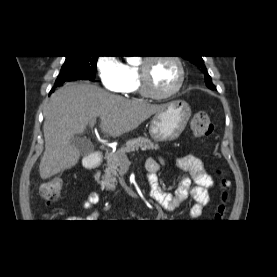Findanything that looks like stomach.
<instances>
[{
	"instance_id": "obj_1",
	"label": "stomach",
	"mask_w": 277,
	"mask_h": 277,
	"mask_svg": "<svg viewBox=\"0 0 277 277\" xmlns=\"http://www.w3.org/2000/svg\"><path fill=\"white\" fill-rule=\"evenodd\" d=\"M190 117L191 108L187 102L175 100L165 103L153 116L149 134L157 142L175 140L184 131Z\"/></svg>"
}]
</instances>
